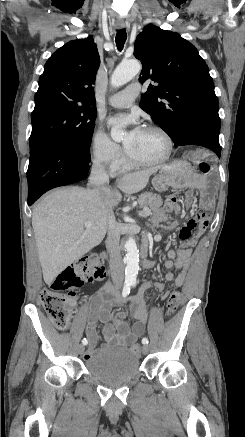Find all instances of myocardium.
I'll return each instance as SVG.
<instances>
[{
  "instance_id": "1",
  "label": "myocardium",
  "mask_w": 245,
  "mask_h": 437,
  "mask_svg": "<svg viewBox=\"0 0 245 437\" xmlns=\"http://www.w3.org/2000/svg\"><path fill=\"white\" fill-rule=\"evenodd\" d=\"M143 129L158 132L163 137V139L165 141V151L160 157H158L156 159L142 160V159H137V158H134L133 156H131L130 153L128 152V150L126 149L125 155H126L127 161L129 163H131L132 165H136V166H154V165H160V164L166 162L171 157L172 152H173V148H174V143H173V139H172L171 135L168 133V131L166 129H164L163 127H161L159 125H155V124H148V125L144 126Z\"/></svg>"
}]
</instances>
